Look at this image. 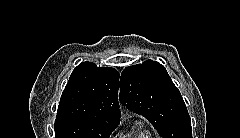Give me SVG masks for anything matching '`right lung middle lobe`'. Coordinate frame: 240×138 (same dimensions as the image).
Returning <instances> with one entry per match:
<instances>
[{
    "label": "right lung middle lobe",
    "instance_id": "right-lung-middle-lobe-1",
    "mask_svg": "<svg viewBox=\"0 0 240 138\" xmlns=\"http://www.w3.org/2000/svg\"><path fill=\"white\" fill-rule=\"evenodd\" d=\"M118 125L101 124L80 119H56V138H109Z\"/></svg>",
    "mask_w": 240,
    "mask_h": 138
}]
</instances>
